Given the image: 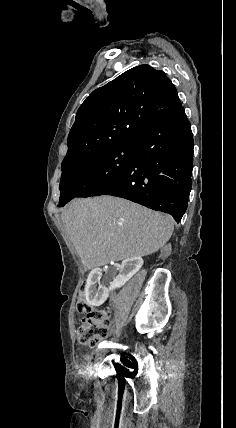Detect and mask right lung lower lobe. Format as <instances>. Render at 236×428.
Instances as JSON below:
<instances>
[{
  "label": "right lung lower lobe",
  "instance_id": "98d812e1",
  "mask_svg": "<svg viewBox=\"0 0 236 428\" xmlns=\"http://www.w3.org/2000/svg\"><path fill=\"white\" fill-rule=\"evenodd\" d=\"M130 165L92 196L112 195L156 211L179 222L188 205L193 168L191 125L181 106L136 139Z\"/></svg>",
  "mask_w": 236,
  "mask_h": 428
}]
</instances>
